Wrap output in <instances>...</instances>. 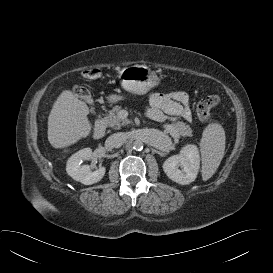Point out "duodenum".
Returning a JSON list of instances; mask_svg holds the SVG:
<instances>
[{"instance_id":"duodenum-1","label":"duodenum","mask_w":273,"mask_h":273,"mask_svg":"<svg viewBox=\"0 0 273 273\" xmlns=\"http://www.w3.org/2000/svg\"><path fill=\"white\" fill-rule=\"evenodd\" d=\"M106 129H107V120L104 117H99L93 130L94 139L95 140L101 139L104 136Z\"/></svg>"}]
</instances>
